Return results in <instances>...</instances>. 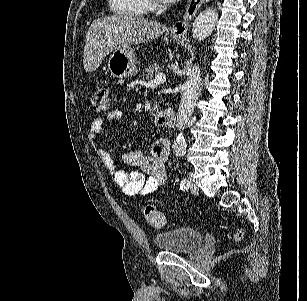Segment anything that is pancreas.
Returning a JSON list of instances; mask_svg holds the SVG:
<instances>
[{
    "label": "pancreas",
    "instance_id": "obj_1",
    "mask_svg": "<svg viewBox=\"0 0 307 301\" xmlns=\"http://www.w3.org/2000/svg\"><path fill=\"white\" fill-rule=\"evenodd\" d=\"M161 70H163L161 64H150L145 72H143L142 76H144V80H153L155 74H158ZM155 108H157V106H155Z\"/></svg>",
    "mask_w": 307,
    "mask_h": 301
}]
</instances>
